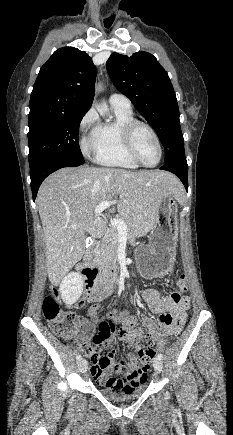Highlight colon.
I'll return each mask as SVG.
<instances>
[{"mask_svg": "<svg viewBox=\"0 0 233 435\" xmlns=\"http://www.w3.org/2000/svg\"><path fill=\"white\" fill-rule=\"evenodd\" d=\"M178 281L182 286H186V277L185 275H180ZM61 286L57 283L53 284L51 289V294L47 295L42 304V311L45 319L49 323V327L52 332L63 339L69 337L74 327V323L76 320V314L71 310L61 309L59 306V302L61 299ZM83 302H80L79 306H83ZM166 319V318H165ZM164 319V320H165ZM132 318L127 317L124 320L125 329L130 324ZM147 342L150 343L152 340L151 333H147L146 335ZM101 341V337L96 335L93 337V343H99ZM81 352L84 355H89L90 351L87 346L81 347ZM155 355V351L153 349H141L140 351V361L147 364L148 368H150V364ZM92 360L97 363L108 364L109 360L107 357L100 356L99 353L90 354ZM131 377L129 379H120L115 381L116 387H118L122 392H131L138 386V381L136 380L138 369L136 367L130 368Z\"/></svg>", "mask_w": 233, "mask_h": 435, "instance_id": "obj_1", "label": "colon"}]
</instances>
